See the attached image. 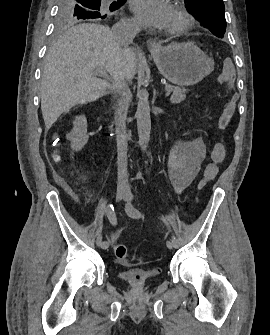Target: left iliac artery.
<instances>
[{
	"label": "left iliac artery",
	"mask_w": 270,
	"mask_h": 335,
	"mask_svg": "<svg viewBox=\"0 0 270 335\" xmlns=\"http://www.w3.org/2000/svg\"><path fill=\"white\" fill-rule=\"evenodd\" d=\"M130 213L136 217V218H139L142 216L141 212L139 210H137L134 206H130ZM163 221L165 222L166 225H168L167 221L163 218ZM171 241L174 245V247H178L179 246V240L172 234V238H171Z\"/></svg>",
	"instance_id": "obj_1"
}]
</instances>
